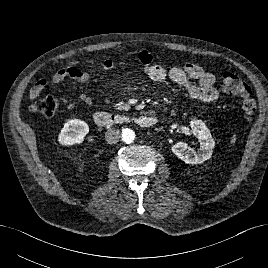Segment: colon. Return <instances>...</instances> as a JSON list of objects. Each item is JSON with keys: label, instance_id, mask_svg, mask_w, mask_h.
Here are the masks:
<instances>
[{"label": "colon", "instance_id": "1", "mask_svg": "<svg viewBox=\"0 0 268 268\" xmlns=\"http://www.w3.org/2000/svg\"><path fill=\"white\" fill-rule=\"evenodd\" d=\"M221 78L224 90L240 97L245 113L249 116L254 114L257 104L252 96L250 86L239 76L231 72H223ZM58 107V99L55 96L47 95L35 99L30 108L45 118H51L56 114Z\"/></svg>", "mask_w": 268, "mask_h": 268}]
</instances>
